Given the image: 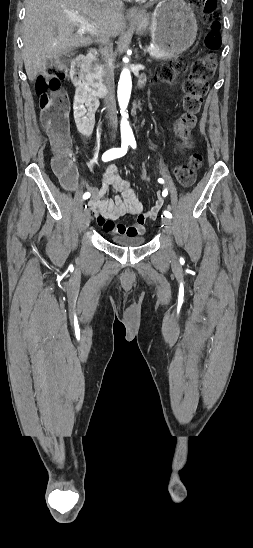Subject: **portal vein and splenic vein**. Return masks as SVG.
<instances>
[{
	"label": "portal vein and splenic vein",
	"mask_w": 253,
	"mask_h": 548,
	"mask_svg": "<svg viewBox=\"0 0 253 548\" xmlns=\"http://www.w3.org/2000/svg\"><path fill=\"white\" fill-rule=\"evenodd\" d=\"M73 19L79 23V31L84 33L88 32L90 34H96L95 27L92 23H90L89 19L81 16V15H75L73 16ZM153 49V46L146 47L147 51H150Z\"/></svg>",
	"instance_id": "obj_1"
}]
</instances>
